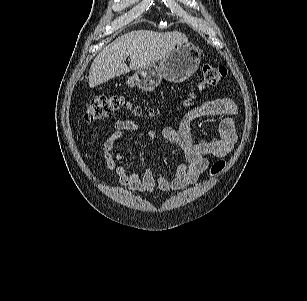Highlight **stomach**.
<instances>
[{"label": "stomach", "mask_w": 307, "mask_h": 301, "mask_svg": "<svg viewBox=\"0 0 307 301\" xmlns=\"http://www.w3.org/2000/svg\"><path fill=\"white\" fill-rule=\"evenodd\" d=\"M200 59L198 47L188 42L179 43L160 59L159 66L150 64L137 69L134 75L128 77L127 84L150 92L160 85L162 79L173 83L184 82L197 71Z\"/></svg>", "instance_id": "obj_1"}]
</instances>
